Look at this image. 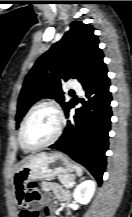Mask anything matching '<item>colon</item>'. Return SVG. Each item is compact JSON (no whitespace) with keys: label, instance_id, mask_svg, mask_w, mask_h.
<instances>
[{"label":"colon","instance_id":"colon-1","mask_svg":"<svg viewBox=\"0 0 132 217\" xmlns=\"http://www.w3.org/2000/svg\"><path fill=\"white\" fill-rule=\"evenodd\" d=\"M40 191L36 183L31 182L25 190L24 198L27 203H33L40 200ZM27 217H38L37 211H30Z\"/></svg>","mask_w":132,"mask_h":217}]
</instances>
